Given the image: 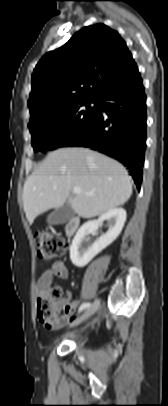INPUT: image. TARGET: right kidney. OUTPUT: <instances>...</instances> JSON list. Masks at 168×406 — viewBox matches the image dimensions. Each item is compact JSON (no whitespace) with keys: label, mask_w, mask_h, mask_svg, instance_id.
I'll return each mask as SVG.
<instances>
[{"label":"right kidney","mask_w":168,"mask_h":406,"mask_svg":"<svg viewBox=\"0 0 168 406\" xmlns=\"http://www.w3.org/2000/svg\"><path fill=\"white\" fill-rule=\"evenodd\" d=\"M108 222V231L101 235L91 246L86 247L83 243L85 237ZM126 221V211L123 208H115L102 214L98 220L84 223L76 233L70 246V259L77 267L86 266L98 253L109 246L121 233Z\"/></svg>","instance_id":"1"}]
</instances>
